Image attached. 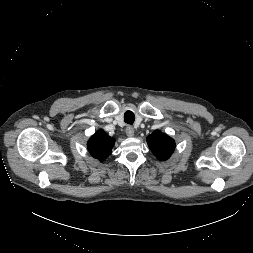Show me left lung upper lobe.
Wrapping results in <instances>:
<instances>
[{"mask_svg":"<svg viewBox=\"0 0 253 253\" xmlns=\"http://www.w3.org/2000/svg\"><path fill=\"white\" fill-rule=\"evenodd\" d=\"M147 143L153 154L162 161L167 160L175 149L174 140L159 130L147 137Z\"/></svg>","mask_w":253,"mask_h":253,"instance_id":"left-lung-upper-lobe-1","label":"left lung upper lobe"}]
</instances>
